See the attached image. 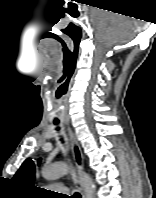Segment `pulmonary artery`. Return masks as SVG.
<instances>
[{
  "label": "pulmonary artery",
  "instance_id": "1",
  "mask_svg": "<svg viewBox=\"0 0 156 198\" xmlns=\"http://www.w3.org/2000/svg\"><path fill=\"white\" fill-rule=\"evenodd\" d=\"M50 188L55 190V191L62 192V193L67 192V188L65 186H62V185H51Z\"/></svg>",
  "mask_w": 156,
  "mask_h": 198
}]
</instances>
